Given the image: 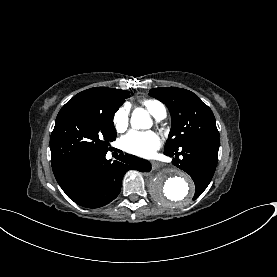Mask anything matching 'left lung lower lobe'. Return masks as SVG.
Returning <instances> with one entry per match:
<instances>
[{"label": "left lung lower lobe", "mask_w": 277, "mask_h": 277, "mask_svg": "<svg viewBox=\"0 0 277 277\" xmlns=\"http://www.w3.org/2000/svg\"><path fill=\"white\" fill-rule=\"evenodd\" d=\"M219 144V137L207 136L184 143L174 150L165 151V154L170 157L175 155L172 163L182 168L193 179L196 187L194 198L201 195L213 177Z\"/></svg>", "instance_id": "1"}]
</instances>
